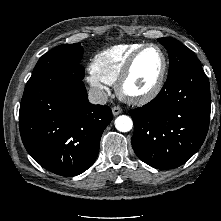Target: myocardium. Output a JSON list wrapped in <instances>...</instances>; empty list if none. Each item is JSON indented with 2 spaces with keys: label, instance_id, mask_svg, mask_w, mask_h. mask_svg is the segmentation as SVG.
Returning a JSON list of instances; mask_svg holds the SVG:
<instances>
[{
  "label": "myocardium",
  "instance_id": "obj_1",
  "mask_svg": "<svg viewBox=\"0 0 221 221\" xmlns=\"http://www.w3.org/2000/svg\"><path fill=\"white\" fill-rule=\"evenodd\" d=\"M148 48H156L160 52L161 57H162V65H161L160 72L157 76V79L155 83L153 84V86L148 91L142 94H137V95L128 94L125 91L124 86L132 74L136 61L138 60L140 55ZM167 69H168L167 56L161 46L154 44V43H148V44L142 45L140 48H138L136 51L132 53V55L129 57L128 61L126 62L123 70L121 71L119 77L117 78L116 84H115L117 95L122 100L131 104H135V105H143V104L150 102L162 90L165 77L167 74Z\"/></svg>",
  "mask_w": 221,
  "mask_h": 221
}]
</instances>
